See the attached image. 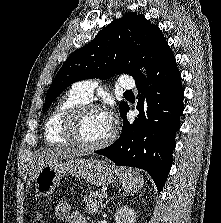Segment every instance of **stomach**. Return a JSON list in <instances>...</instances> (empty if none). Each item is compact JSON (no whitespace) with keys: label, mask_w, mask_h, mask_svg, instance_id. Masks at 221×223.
<instances>
[{"label":"stomach","mask_w":221,"mask_h":223,"mask_svg":"<svg viewBox=\"0 0 221 223\" xmlns=\"http://www.w3.org/2000/svg\"><path fill=\"white\" fill-rule=\"evenodd\" d=\"M66 175L75 176L95 186L108 185L115 180L116 170L103 160L68 158L42 167L35 176L38 194L48 196L54 192Z\"/></svg>","instance_id":"0dacf381"}]
</instances>
